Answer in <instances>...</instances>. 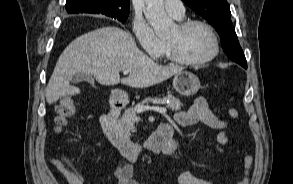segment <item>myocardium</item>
Returning <instances> with one entry per match:
<instances>
[{
	"label": "myocardium",
	"instance_id": "1",
	"mask_svg": "<svg viewBox=\"0 0 293 184\" xmlns=\"http://www.w3.org/2000/svg\"><path fill=\"white\" fill-rule=\"evenodd\" d=\"M195 26H201V27L205 28L210 33L212 40H213L212 52L204 58H201L198 60H190V59L183 57L179 53V51L174 43H172L171 41H167L168 54H169V58L172 61L179 63V64H182V65H187V66H200V65H203V64H206V63L212 61L219 54L220 41H219L218 34L215 31V29L213 28V26L211 24H209L208 22L203 21V20H188V21H184V22L179 23L177 28L179 29L180 32H186L187 30H189Z\"/></svg>",
	"mask_w": 293,
	"mask_h": 184
}]
</instances>
